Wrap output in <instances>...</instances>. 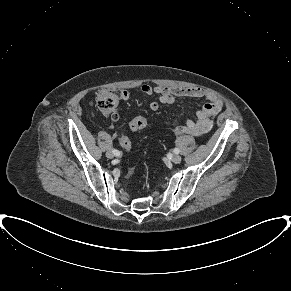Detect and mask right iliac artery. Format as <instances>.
Instances as JSON below:
<instances>
[{"label":"right iliac artery","mask_w":291,"mask_h":291,"mask_svg":"<svg viewBox=\"0 0 291 291\" xmlns=\"http://www.w3.org/2000/svg\"><path fill=\"white\" fill-rule=\"evenodd\" d=\"M112 151H113L115 156H119L121 154L120 151H118L116 149H113Z\"/></svg>","instance_id":"obj_1"}]
</instances>
